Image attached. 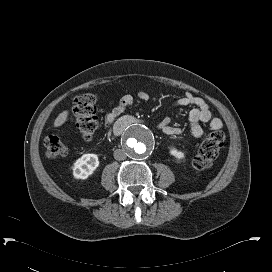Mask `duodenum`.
I'll return each mask as SVG.
<instances>
[{"instance_id": "1", "label": "duodenum", "mask_w": 272, "mask_h": 272, "mask_svg": "<svg viewBox=\"0 0 272 272\" xmlns=\"http://www.w3.org/2000/svg\"><path fill=\"white\" fill-rule=\"evenodd\" d=\"M129 120L117 121L113 124L111 133L113 137H118L125 129Z\"/></svg>"}]
</instances>
